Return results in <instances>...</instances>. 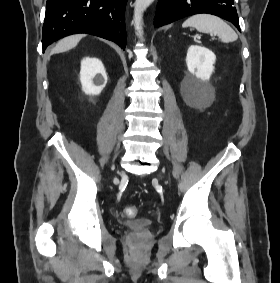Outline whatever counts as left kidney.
Returning <instances> with one entry per match:
<instances>
[{
    "label": "left kidney",
    "instance_id": "left-kidney-1",
    "mask_svg": "<svg viewBox=\"0 0 280 283\" xmlns=\"http://www.w3.org/2000/svg\"><path fill=\"white\" fill-rule=\"evenodd\" d=\"M216 61L215 54L209 49L191 45L188 48L186 56V64L188 71L203 81L209 80Z\"/></svg>",
    "mask_w": 280,
    "mask_h": 283
}]
</instances>
